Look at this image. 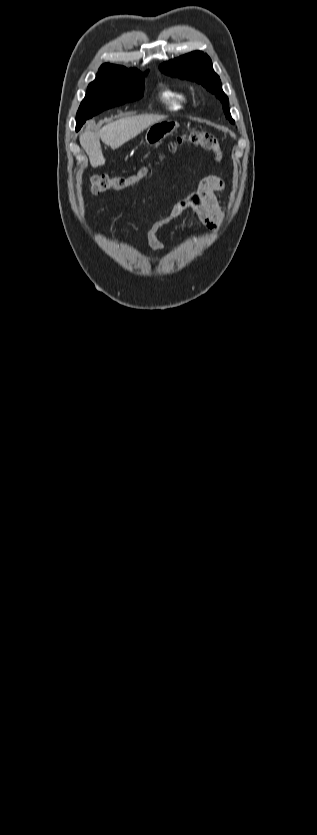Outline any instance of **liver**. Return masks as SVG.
<instances>
[{
  "label": "liver",
  "mask_w": 317,
  "mask_h": 835,
  "mask_svg": "<svg viewBox=\"0 0 317 835\" xmlns=\"http://www.w3.org/2000/svg\"><path fill=\"white\" fill-rule=\"evenodd\" d=\"M162 117L152 115H137L123 117L103 126L98 133L85 132L80 136V144L89 156L90 164L96 168L106 162L101 141L113 150L133 139L152 124L162 121Z\"/></svg>",
  "instance_id": "1"
}]
</instances>
